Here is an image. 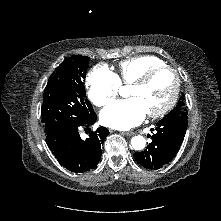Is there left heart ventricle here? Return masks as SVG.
Returning a JSON list of instances; mask_svg holds the SVG:
<instances>
[{
  "instance_id": "1",
  "label": "left heart ventricle",
  "mask_w": 221,
  "mask_h": 221,
  "mask_svg": "<svg viewBox=\"0 0 221 221\" xmlns=\"http://www.w3.org/2000/svg\"><path fill=\"white\" fill-rule=\"evenodd\" d=\"M174 88V76L169 71H162L142 87L131 86L129 95L138 98L147 113L157 111L169 100Z\"/></svg>"
}]
</instances>
